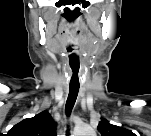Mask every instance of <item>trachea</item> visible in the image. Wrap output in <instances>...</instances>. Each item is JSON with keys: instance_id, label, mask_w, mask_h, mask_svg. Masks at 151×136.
Returning <instances> with one entry per match:
<instances>
[{"instance_id": "3493384b", "label": "trachea", "mask_w": 151, "mask_h": 136, "mask_svg": "<svg viewBox=\"0 0 151 136\" xmlns=\"http://www.w3.org/2000/svg\"><path fill=\"white\" fill-rule=\"evenodd\" d=\"M78 72L79 70L73 71V75L69 84V94H68V98L66 101V106H65V111H66V115L69 116L71 114V111L74 107V104L76 102L77 96H78V92H79V88H80V84L79 81H73V77L74 76H78Z\"/></svg>"}]
</instances>
